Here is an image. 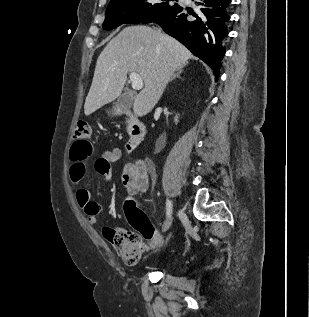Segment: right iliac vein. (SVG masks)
Returning a JSON list of instances; mask_svg holds the SVG:
<instances>
[{
    "mask_svg": "<svg viewBox=\"0 0 309 317\" xmlns=\"http://www.w3.org/2000/svg\"><path fill=\"white\" fill-rule=\"evenodd\" d=\"M172 221H173V217L172 215H170L163 224V227H162L163 232H166L171 227Z\"/></svg>",
    "mask_w": 309,
    "mask_h": 317,
    "instance_id": "1",
    "label": "right iliac vein"
}]
</instances>
